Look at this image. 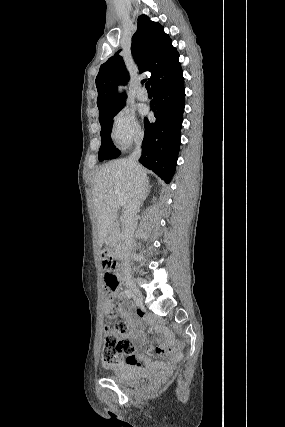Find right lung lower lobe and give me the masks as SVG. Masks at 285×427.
Masks as SVG:
<instances>
[{
	"label": "right lung lower lobe",
	"instance_id": "1",
	"mask_svg": "<svg viewBox=\"0 0 285 427\" xmlns=\"http://www.w3.org/2000/svg\"><path fill=\"white\" fill-rule=\"evenodd\" d=\"M152 90L154 98L150 105L156 122L150 123L147 118L144 119L145 135L139 162L170 182L178 158L185 106L182 70L168 81L155 85Z\"/></svg>",
	"mask_w": 285,
	"mask_h": 427
}]
</instances>
